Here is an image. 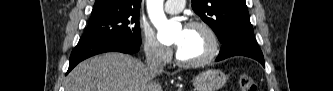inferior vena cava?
<instances>
[{
    "instance_id": "602c4592",
    "label": "inferior vena cava",
    "mask_w": 333,
    "mask_h": 91,
    "mask_svg": "<svg viewBox=\"0 0 333 91\" xmlns=\"http://www.w3.org/2000/svg\"><path fill=\"white\" fill-rule=\"evenodd\" d=\"M147 67L151 73L159 74L163 72V64L158 49L152 48L149 50L147 55Z\"/></svg>"
}]
</instances>
